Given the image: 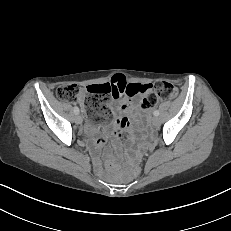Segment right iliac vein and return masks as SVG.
Wrapping results in <instances>:
<instances>
[{"label":"right iliac vein","mask_w":231,"mask_h":231,"mask_svg":"<svg viewBox=\"0 0 231 231\" xmlns=\"http://www.w3.org/2000/svg\"><path fill=\"white\" fill-rule=\"evenodd\" d=\"M75 122L77 124H82L83 118H82V116L80 114H76V116H75Z\"/></svg>","instance_id":"63e3f726"}]
</instances>
